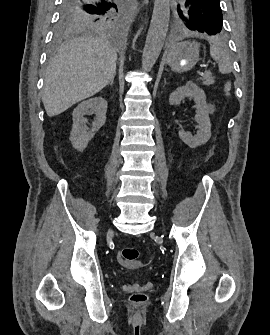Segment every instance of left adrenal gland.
<instances>
[{
    "mask_svg": "<svg viewBox=\"0 0 270 335\" xmlns=\"http://www.w3.org/2000/svg\"><path fill=\"white\" fill-rule=\"evenodd\" d=\"M167 82H166V78H164V86H166Z\"/></svg>",
    "mask_w": 270,
    "mask_h": 335,
    "instance_id": "obj_1",
    "label": "left adrenal gland"
}]
</instances>
